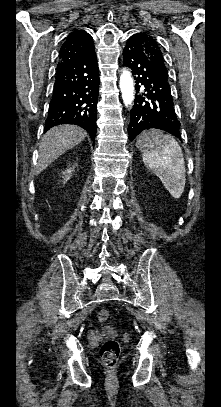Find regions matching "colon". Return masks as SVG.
<instances>
[{"mask_svg":"<svg viewBox=\"0 0 221 407\" xmlns=\"http://www.w3.org/2000/svg\"><path fill=\"white\" fill-rule=\"evenodd\" d=\"M99 322H106L110 319V313L107 310H100L97 314ZM120 356V344L116 339L106 340L100 348V358L109 371H113L118 364Z\"/></svg>","mask_w":221,"mask_h":407,"instance_id":"obj_1","label":"colon"}]
</instances>
